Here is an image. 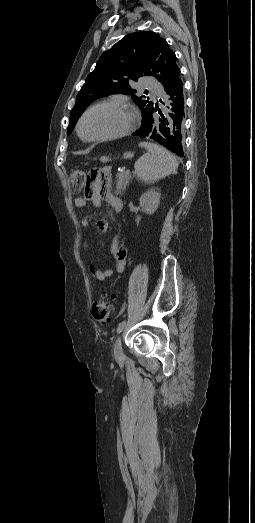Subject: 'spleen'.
Segmentation results:
<instances>
[{
    "label": "spleen",
    "mask_w": 255,
    "mask_h": 523,
    "mask_svg": "<svg viewBox=\"0 0 255 523\" xmlns=\"http://www.w3.org/2000/svg\"><path fill=\"white\" fill-rule=\"evenodd\" d=\"M139 146L146 148L147 154L135 162V172L145 184H153L169 174H177L178 162L166 148L149 142H141Z\"/></svg>",
    "instance_id": "obj_1"
}]
</instances>
